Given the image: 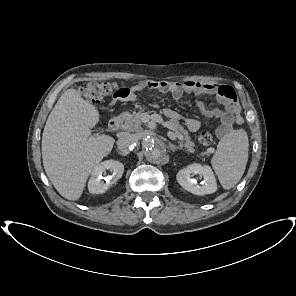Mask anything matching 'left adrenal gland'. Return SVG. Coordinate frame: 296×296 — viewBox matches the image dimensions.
Segmentation results:
<instances>
[{
    "label": "left adrenal gland",
    "mask_w": 296,
    "mask_h": 296,
    "mask_svg": "<svg viewBox=\"0 0 296 296\" xmlns=\"http://www.w3.org/2000/svg\"><path fill=\"white\" fill-rule=\"evenodd\" d=\"M169 147H170V149L173 151V152H175V151H177V150H182V146H176V145H174L173 143H169Z\"/></svg>",
    "instance_id": "left-adrenal-gland-1"
}]
</instances>
